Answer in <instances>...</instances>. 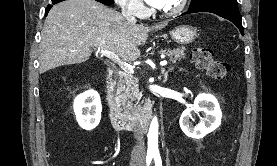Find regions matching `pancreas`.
Returning <instances> with one entry per match:
<instances>
[{
	"instance_id": "cf45deb5",
	"label": "pancreas",
	"mask_w": 277,
	"mask_h": 166,
	"mask_svg": "<svg viewBox=\"0 0 277 166\" xmlns=\"http://www.w3.org/2000/svg\"><path fill=\"white\" fill-rule=\"evenodd\" d=\"M184 51L185 48H176L172 50H162L161 52L168 56L172 63H176V61L185 58ZM113 86L116 90L115 98L121 103L126 111L131 113L140 111V106L132 105V101H134L136 97L138 85L130 71H119Z\"/></svg>"
}]
</instances>
